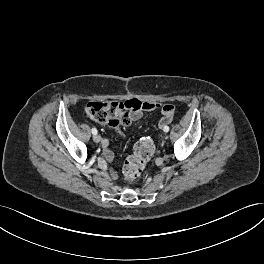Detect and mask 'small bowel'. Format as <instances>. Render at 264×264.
<instances>
[{
	"label": "small bowel",
	"instance_id": "obj_1",
	"mask_svg": "<svg viewBox=\"0 0 264 264\" xmlns=\"http://www.w3.org/2000/svg\"><path fill=\"white\" fill-rule=\"evenodd\" d=\"M122 103L126 106L129 112L130 121H137L143 116L144 112L160 108L162 114L161 119H168L167 123L160 126L161 128L172 121L175 112L174 106L170 104L160 105L154 102H142L138 99H130ZM102 147L104 150V157L107 161H111L113 159V153L109 149V143L107 140L103 141ZM110 175L113 179L116 178V173L114 171H111Z\"/></svg>",
	"mask_w": 264,
	"mask_h": 264
}]
</instances>
